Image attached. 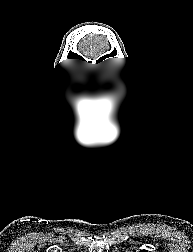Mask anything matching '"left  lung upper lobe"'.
<instances>
[{
    "label": "left lung upper lobe",
    "instance_id": "5c2ea615",
    "mask_svg": "<svg viewBox=\"0 0 193 252\" xmlns=\"http://www.w3.org/2000/svg\"><path fill=\"white\" fill-rule=\"evenodd\" d=\"M140 252H148V251H146V250H141Z\"/></svg>",
    "mask_w": 193,
    "mask_h": 252
}]
</instances>
